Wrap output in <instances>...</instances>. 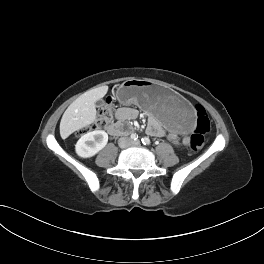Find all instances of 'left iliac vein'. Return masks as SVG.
<instances>
[{"mask_svg": "<svg viewBox=\"0 0 264 264\" xmlns=\"http://www.w3.org/2000/svg\"><path fill=\"white\" fill-rule=\"evenodd\" d=\"M131 145L139 146L140 145V141L139 140L133 141V142H131Z\"/></svg>", "mask_w": 264, "mask_h": 264, "instance_id": "obj_1", "label": "left iliac vein"}]
</instances>
